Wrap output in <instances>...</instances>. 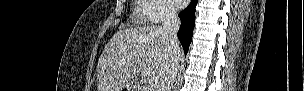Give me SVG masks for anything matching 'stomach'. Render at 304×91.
<instances>
[{
    "mask_svg": "<svg viewBox=\"0 0 304 91\" xmlns=\"http://www.w3.org/2000/svg\"><path fill=\"white\" fill-rule=\"evenodd\" d=\"M122 90H125V91H133V89H132L130 86H127V85H126L125 87H123ZM122 90H121V91H122Z\"/></svg>",
    "mask_w": 304,
    "mask_h": 91,
    "instance_id": "1",
    "label": "stomach"
}]
</instances>
